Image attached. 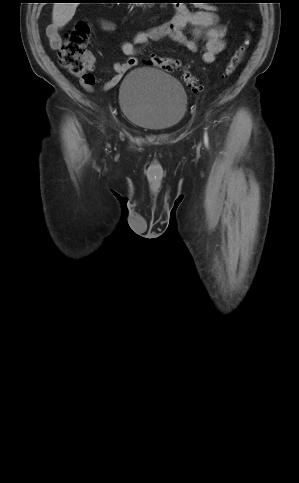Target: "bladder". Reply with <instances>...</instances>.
Here are the masks:
<instances>
[{
	"instance_id": "1",
	"label": "bladder",
	"mask_w": 299,
	"mask_h": 483,
	"mask_svg": "<svg viewBox=\"0 0 299 483\" xmlns=\"http://www.w3.org/2000/svg\"><path fill=\"white\" fill-rule=\"evenodd\" d=\"M118 100L126 120L152 131L176 127L188 108L183 85L150 66L134 68L124 77Z\"/></svg>"
}]
</instances>
